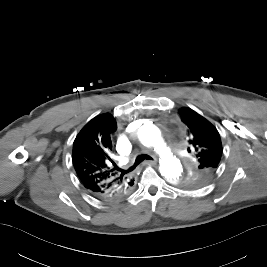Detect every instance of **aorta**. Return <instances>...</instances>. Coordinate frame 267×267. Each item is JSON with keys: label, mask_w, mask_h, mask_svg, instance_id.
Listing matches in <instances>:
<instances>
[{"label": "aorta", "mask_w": 267, "mask_h": 267, "mask_svg": "<svg viewBox=\"0 0 267 267\" xmlns=\"http://www.w3.org/2000/svg\"><path fill=\"white\" fill-rule=\"evenodd\" d=\"M138 138L144 146L157 149L160 155L159 170L161 175L168 182L178 184L183 172L182 164L166 147L158 127L152 124L143 125L138 130Z\"/></svg>", "instance_id": "aorta-1"}]
</instances>
